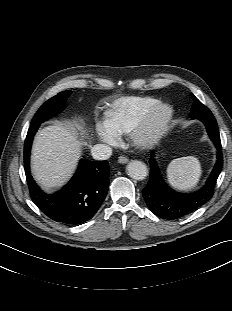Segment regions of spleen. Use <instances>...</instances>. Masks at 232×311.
Instances as JSON below:
<instances>
[{
    "label": "spleen",
    "mask_w": 232,
    "mask_h": 311,
    "mask_svg": "<svg viewBox=\"0 0 232 311\" xmlns=\"http://www.w3.org/2000/svg\"><path fill=\"white\" fill-rule=\"evenodd\" d=\"M201 173L200 162L194 156L174 159L167 168L169 183L179 190L194 188L199 181Z\"/></svg>",
    "instance_id": "3e777b00"
}]
</instances>
